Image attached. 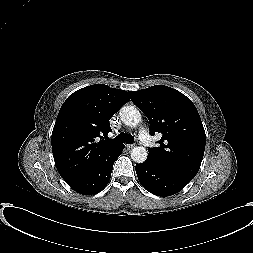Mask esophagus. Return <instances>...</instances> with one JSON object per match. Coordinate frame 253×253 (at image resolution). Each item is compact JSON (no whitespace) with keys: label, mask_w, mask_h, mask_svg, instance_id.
Listing matches in <instances>:
<instances>
[{"label":"esophagus","mask_w":253,"mask_h":253,"mask_svg":"<svg viewBox=\"0 0 253 253\" xmlns=\"http://www.w3.org/2000/svg\"><path fill=\"white\" fill-rule=\"evenodd\" d=\"M134 146H135V144H127V145H126V147H127L128 149H132Z\"/></svg>","instance_id":"1"}]
</instances>
